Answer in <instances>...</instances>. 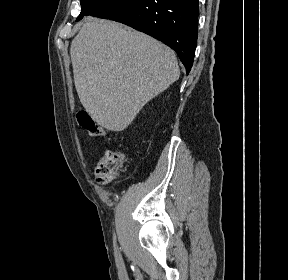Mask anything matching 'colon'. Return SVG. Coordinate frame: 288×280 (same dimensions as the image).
Wrapping results in <instances>:
<instances>
[{
	"instance_id": "1",
	"label": "colon",
	"mask_w": 288,
	"mask_h": 280,
	"mask_svg": "<svg viewBox=\"0 0 288 280\" xmlns=\"http://www.w3.org/2000/svg\"><path fill=\"white\" fill-rule=\"evenodd\" d=\"M80 126L93 137H101L105 130L98 120L88 111L81 110L77 114ZM126 161V155L118 150H108L97 163L95 174L101 184L111 182Z\"/></svg>"
}]
</instances>
